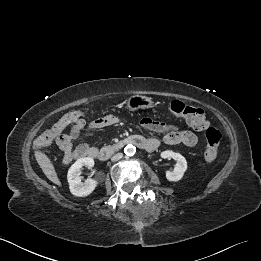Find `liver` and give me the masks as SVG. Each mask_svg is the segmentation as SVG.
<instances>
[{
    "label": "liver",
    "instance_id": "obj_1",
    "mask_svg": "<svg viewBox=\"0 0 261 261\" xmlns=\"http://www.w3.org/2000/svg\"><path fill=\"white\" fill-rule=\"evenodd\" d=\"M35 158L46 177L54 184L61 186V182L57 176L54 165L49 157L42 151L36 150Z\"/></svg>",
    "mask_w": 261,
    "mask_h": 261
}]
</instances>
